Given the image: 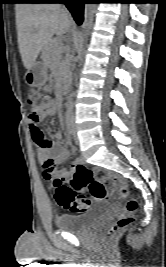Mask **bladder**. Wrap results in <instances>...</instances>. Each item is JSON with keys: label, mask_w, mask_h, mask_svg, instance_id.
Wrapping results in <instances>:
<instances>
[{"label": "bladder", "mask_w": 166, "mask_h": 267, "mask_svg": "<svg viewBox=\"0 0 166 267\" xmlns=\"http://www.w3.org/2000/svg\"><path fill=\"white\" fill-rule=\"evenodd\" d=\"M99 212L62 214L56 218V226L62 231L80 232L88 229L97 221V215Z\"/></svg>", "instance_id": "31cf9c89"}]
</instances>
